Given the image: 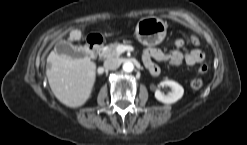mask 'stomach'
<instances>
[{
	"label": "stomach",
	"mask_w": 247,
	"mask_h": 145,
	"mask_svg": "<svg viewBox=\"0 0 247 145\" xmlns=\"http://www.w3.org/2000/svg\"><path fill=\"white\" fill-rule=\"evenodd\" d=\"M167 31V23L157 17L142 18L136 25L135 34L139 42L147 46L160 44Z\"/></svg>",
	"instance_id": "0dacf381"
}]
</instances>
